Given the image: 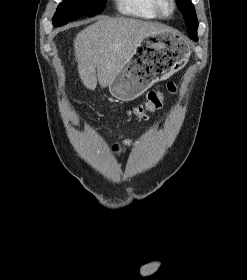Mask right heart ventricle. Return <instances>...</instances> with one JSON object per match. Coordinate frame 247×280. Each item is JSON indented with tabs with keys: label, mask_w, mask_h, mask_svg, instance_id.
<instances>
[{
	"label": "right heart ventricle",
	"mask_w": 247,
	"mask_h": 280,
	"mask_svg": "<svg viewBox=\"0 0 247 280\" xmlns=\"http://www.w3.org/2000/svg\"><path fill=\"white\" fill-rule=\"evenodd\" d=\"M117 9L124 15L143 19H158L155 0H117Z\"/></svg>",
	"instance_id": "right-heart-ventricle-1"
}]
</instances>
